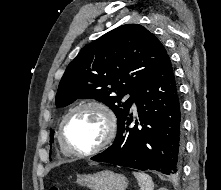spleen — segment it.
<instances>
[{"instance_id": "3e777b00", "label": "spleen", "mask_w": 221, "mask_h": 190, "mask_svg": "<svg viewBox=\"0 0 221 190\" xmlns=\"http://www.w3.org/2000/svg\"><path fill=\"white\" fill-rule=\"evenodd\" d=\"M133 175L138 181L140 190H154V183L149 175L142 172H133Z\"/></svg>"}]
</instances>
